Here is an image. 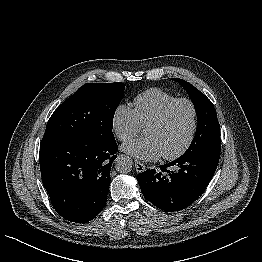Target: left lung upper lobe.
<instances>
[{"instance_id": "obj_1", "label": "left lung upper lobe", "mask_w": 262, "mask_h": 262, "mask_svg": "<svg viewBox=\"0 0 262 262\" xmlns=\"http://www.w3.org/2000/svg\"><path fill=\"white\" fill-rule=\"evenodd\" d=\"M172 79L180 83L189 94L198 119L195 137L183 155L198 152H220V126L212 102L190 83L178 78Z\"/></svg>"}]
</instances>
